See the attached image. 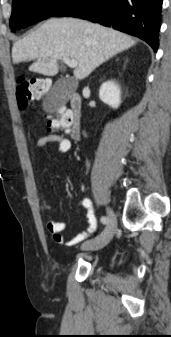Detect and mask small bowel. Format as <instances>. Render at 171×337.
Wrapping results in <instances>:
<instances>
[{"instance_id": "obj_1", "label": "small bowel", "mask_w": 171, "mask_h": 337, "mask_svg": "<svg viewBox=\"0 0 171 337\" xmlns=\"http://www.w3.org/2000/svg\"><path fill=\"white\" fill-rule=\"evenodd\" d=\"M53 144L58 150L61 152H69L72 149V143L71 141L61 134H48L46 136H43L38 139L36 143V149L39 153L42 152V150L45 148L46 145ZM42 157V155H40ZM41 203L44 209H49V205L45 200V195L42 193L40 195ZM82 206L87 210V222L88 227L85 231L77 234L76 236L72 238H66L63 235V232L66 229V223L56 221L53 219H49L46 223L48 231L53 236V239L62 245L65 246H73L76 245L83 240L89 238L91 235L94 234L97 228V220L95 216V212L93 209V205L91 201L87 198H84L82 200Z\"/></svg>"}]
</instances>
